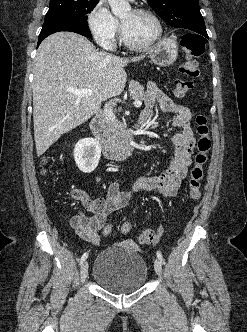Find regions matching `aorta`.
<instances>
[{"instance_id":"obj_1","label":"aorta","mask_w":247,"mask_h":332,"mask_svg":"<svg viewBox=\"0 0 247 332\" xmlns=\"http://www.w3.org/2000/svg\"><path fill=\"white\" fill-rule=\"evenodd\" d=\"M112 13L117 16H123L130 12V4L126 0H108Z\"/></svg>"}]
</instances>
